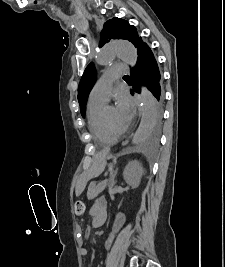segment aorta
<instances>
[{"instance_id": "obj_1", "label": "aorta", "mask_w": 225, "mask_h": 267, "mask_svg": "<svg viewBox=\"0 0 225 267\" xmlns=\"http://www.w3.org/2000/svg\"><path fill=\"white\" fill-rule=\"evenodd\" d=\"M119 57L129 66H135L137 62V50L128 41H117L104 45L97 53L96 61L99 65L105 66L111 63L115 57ZM142 116L139 127L132 139L134 145L142 143L150 134L154 124L155 99L153 95L143 87L141 90Z\"/></svg>"}]
</instances>
